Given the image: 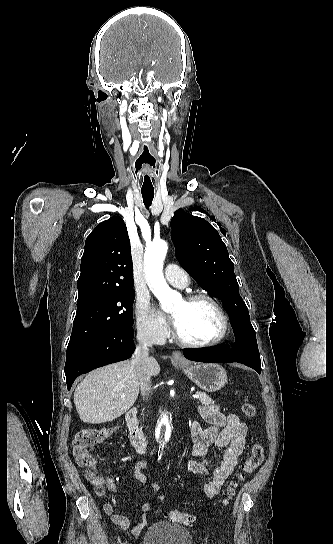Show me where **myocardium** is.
Wrapping results in <instances>:
<instances>
[{
  "label": "myocardium",
  "instance_id": "myocardium-1",
  "mask_svg": "<svg viewBox=\"0 0 333 544\" xmlns=\"http://www.w3.org/2000/svg\"><path fill=\"white\" fill-rule=\"evenodd\" d=\"M184 301L188 304H193V303H196V302H200V301H206V302H209L211 305H213L215 307V309L217 310V312L219 313L220 315V318H221V330L219 332V334L209 340V341H205V342H192V341H189V340H186L184 339L178 332V330L174 329V339L179 343L181 344L182 346H185V347H189V348H208V347H212V346H215L217 344H219L221 341H223L228 333V330H229V317H228V314L223 306V304L215 297H213L212 295H209V294H206V293H195V294H190L188 295Z\"/></svg>",
  "mask_w": 333,
  "mask_h": 544
}]
</instances>
